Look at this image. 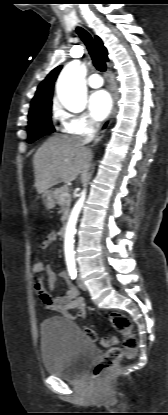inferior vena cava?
I'll return each mask as SVG.
<instances>
[{"mask_svg": "<svg viewBox=\"0 0 168 415\" xmlns=\"http://www.w3.org/2000/svg\"><path fill=\"white\" fill-rule=\"evenodd\" d=\"M99 129V124L96 122H91L89 125V132L84 136V138L82 139L84 144H88L91 141H93V139L96 136V133Z\"/></svg>", "mask_w": 168, "mask_h": 415, "instance_id": "obj_1", "label": "inferior vena cava"}]
</instances>
